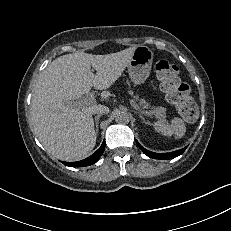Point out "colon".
<instances>
[{
	"mask_svg": "<svg viewBox=\"0 0 231 231\" xmlns=\"http://www.w3.org/2000/svg\"><path fill=\"white\" fill-rule=\"evenodd\" d=\"M155 72L167 100L176 107L179 114L187 121L196 119L197 104L189 86L181 81L178 67L166 60H160L155 65Z\"/></svg>",
	"mask_w": 231,
	"mask_h": 231,
	"instance_id": "colon-1",
	"label": "colon"
}]
</instances>
